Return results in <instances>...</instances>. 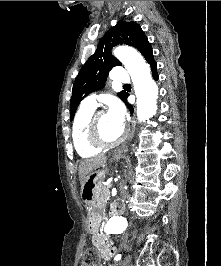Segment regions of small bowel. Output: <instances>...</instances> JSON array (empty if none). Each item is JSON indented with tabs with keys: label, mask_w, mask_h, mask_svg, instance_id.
<instances>
[{
	"label": "small bowel",
	"mask_w": 221,
	"mask_h": 266,
	"mask_svg": "<svg viewBox=\"0 0 221 266\" xmlns=\"http://www.w3.org/2000/svg\"><path fill=\"white\" fill-rule=\"evenodd\" d=\"M92 243L99 250L101 258L108 263L115 253V248L110 242L108 235L95 233L92 237ZM108 266L112 265L108 264Z\"/></svg>",
	"instance_id": "small-bowel-1"
}]
</instances>
